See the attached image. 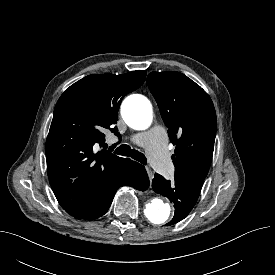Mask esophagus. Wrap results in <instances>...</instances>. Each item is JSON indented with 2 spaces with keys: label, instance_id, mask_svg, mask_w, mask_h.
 <instances>
[{
  "label": "esophagus",
  "instance_id": "obj_1",
  "mask_svg": "<svg viewBox=\"0 0 275 275\" xmlns=\"http://www.w3.org/2000/svg\"><path fill=\"white\" fill-rule=\"evenodd\" d=\"M146 171H147L149 179L151 181L152 178H153V172H152V170L149 167H146Z\"/></svg>",
  "mask_w": 275,
  "mask_h": 275
}]
</instances>
